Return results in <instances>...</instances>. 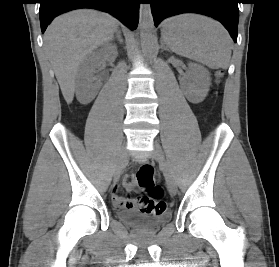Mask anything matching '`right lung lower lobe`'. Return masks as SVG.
<instances>
[{
	"mask_svg": "<svg viewBox=\"0 0 279 267\" xmlns=\"http://www.w3.org/2000/svg\"><path fill=\"white\" fill-rule=\"evenodd\" d=\"M140 2V0H40L41 31L44 33L48 24L57 15L77 8L103 10L134 30L138 24Z\"/></svg>",
	"mask_w": 279,
	"mask_h": 267,
	"instance_id": "right-lung-lower-lobe-1",
	"label": "right lung lower lobe"
}]
</instances>
